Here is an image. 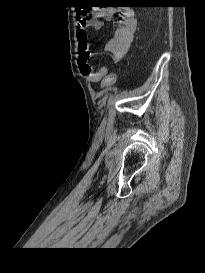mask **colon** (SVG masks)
<instances>
[{
    "instance_id": "obj_1",
    "label": "colon",
    "mask_w": 205,
    "mask_h": 273,
    "mask_svg": "<svg viewBox=\"0 0 205 273\" xmlns=\"http://www.w3.org/2000/svg\"><path fill=\"white\" fill-rule=\"evenodd\" d=\"M116 80V75L114 73H110L107 75L103 81V86L104 87H109L111 86Z\"/></svg>"
}]
</instances>
